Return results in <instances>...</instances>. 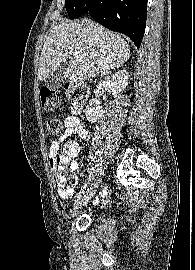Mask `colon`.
<instances>
[{"label":"colon","mask_w":195,"mask_h":270,"mask_svg":"<svg viewBox=\"0 0 195 270\" xmlns=\"http://www.w3.org/2000/svg\"><path fill=\"white\" fill-rule=\"evenodd\" d=\"M65 95L69 102L70 110L78 114L85 106L88 89L84 84L74 83L65 87ZM61 99L60 92L51 89H42L40 91V103L45 111H54ZM63 125L59 119H50L47 122L49 134L58 135L62 131ZM78 152V146L75 142H68L63 146L62 153L55 159L53 170L54 185L60 195H65L74 188L77 183V176L72 167L71 158Z\"/></svg>","instance_id":"colon-1"}]
</instances>
